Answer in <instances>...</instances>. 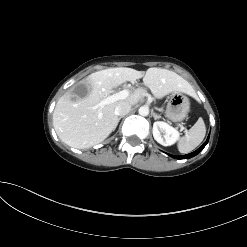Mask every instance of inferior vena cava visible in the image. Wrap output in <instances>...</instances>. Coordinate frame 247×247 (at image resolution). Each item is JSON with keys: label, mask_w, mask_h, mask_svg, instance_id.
I'll return each mask as SVG.
<instances>
[{"label": "inferior vena cava", "mask_w": 247, "mask_h": 247, "mask_svg": "<svg viewBox=\"0 0 247 247\" xmlns=\"http://www.w3.org/2000/svg\"><path fill=\"white\" fill-rule=\"evenodd\" d=\"M131 110V104L125 101L120 102L115 108V114L118 116H124Z\"/></svg>", "instance_id": "602c4592"}]
</instances>
